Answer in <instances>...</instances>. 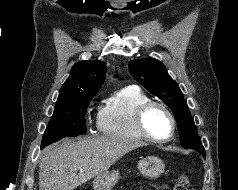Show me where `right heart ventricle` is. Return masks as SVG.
<instances>
[{"label": "right heart ventricle", "mask_w": 238, "mask_h": 190, "mask_svg": "<svg viewBox=\"0 0 238 190\" xmlns=\"http://www.w3.org/2000/svg\"><path fill=\"white\" fill-rule=\"evenodd\" d=\"M149 100V97L135 86L117 90L98 111L97 128L99 132L116 138L144 140L145 138L137 129L135 114L137 109Z\"/></svg>", "instance_id": "1"}]
</instances>
